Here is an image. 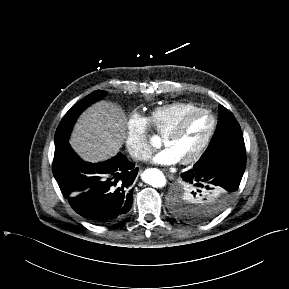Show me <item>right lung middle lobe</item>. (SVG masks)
<instances>
[{
    "mask_svg": "<svg viewBox=\"0 0 289 289\" xmlns=\"http://www.w3.org/2000/svg\"><path fill=\"white\" fill-rule=\"evenodd\" d=\"M105 94L106 91L103 90L94 91L69 109L56 130L55 147L68 140L71 129L79 114L89 105L101 99Z\"/></svg>",
    "mask_w": 289,
    "mask_h": 289,
    "instance_id": "obj_1",
    "label": "right lung middle lobe"
}]
</instances>
